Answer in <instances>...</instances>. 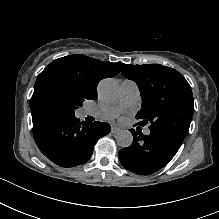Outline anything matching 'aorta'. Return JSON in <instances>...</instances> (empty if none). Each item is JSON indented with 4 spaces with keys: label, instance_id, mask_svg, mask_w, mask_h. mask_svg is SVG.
I'll return each mask as SVG.
<instances>
[{
    "label": "aorta",
    "instance_id": "obj_1",
    "mask_svg": "<svg viewBox=\"0 0 219 219\" xmlns=\"http://www.w3.org/2000/svg\"><path fill=\"white\" fill-rule=\"evenodd\" d=\"M98 93L101 100L113 102L119 96V87L115 80L104 79L99 83ZM116 142L122 148L129 147L133 142L132 133L128 130H122L116 135Z\"/></svg>",
    "mask_w": 219,
    "mask_h": 219
}]
</instances>
